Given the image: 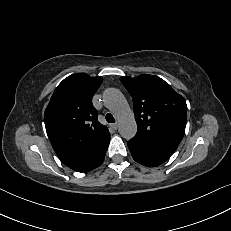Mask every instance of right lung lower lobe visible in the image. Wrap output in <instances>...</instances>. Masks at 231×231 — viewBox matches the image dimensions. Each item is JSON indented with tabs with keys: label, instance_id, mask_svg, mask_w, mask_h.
I'll return each mask as SVG.
<instances>
[{
	"label": "right lung lower lobe",
	"instance_id": "obj_1",
	"mask_svg": "<svg viewBox=\"0 0 231 231\" xmlns=\"http://www.w3.org/2000/svg\"><path fill=\"white\" fill-rule=\"evenodd\" d=\"M109 141H110V139H109ZM109 141L107 142V144L104 146V148L99 153L96 161L92 165H90L88 168H81L80 170H78V172H82V173L88 172V171H91L94 168L100 166L103 163V161H104V157H105V153H106L107 147L109 145Z\"/></svg>",
	"mask_w": 231,
	"mask_h": 231
}]
</instances>
